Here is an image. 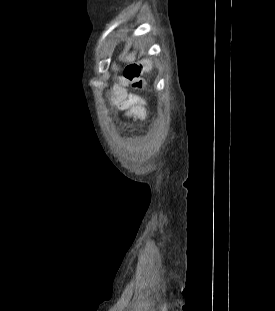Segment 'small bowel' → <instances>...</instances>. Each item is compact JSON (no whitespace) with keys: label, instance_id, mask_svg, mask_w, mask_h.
Listing matches in <instances>:
<instances>
[{"label":"small bowel","instance_id":"1","mask_svg":"<svg viewBox=\"0 0 275 311\" xmlns=\"http://www.w3.org/2000/svg\"><path fill=\"white\" fill-rule=\"evenodd\" d=\"M138 56H149V51H138ZM125 62L131 61V58L126 56ZM129 79L124 73L123 76L119 77L118 84L114 88L113 100L115 105L124 111H127L129 115L143 118L145 116V100L138 94L128 92Z\"/></svg>","mask_w":275,"mask_h":311}]
</instances>
